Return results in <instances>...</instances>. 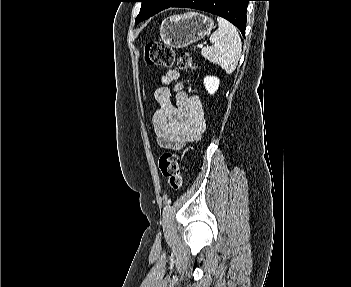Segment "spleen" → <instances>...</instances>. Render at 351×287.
Returning <instances> with one entry per match:
<instances>
[{"mask_svg":"<svg viewBox=\"0 0 351 287\" xmlns=\"http://www.w3.org/2000/svg\"><path fill=\"white\" fill-rule=\"evenodd\" d=\"M218 29L210 36L212 46L204 47L202 56L218 64L227 74H231L241 56L242 43L236 27L222 17L217 18Z\"/></svg>","mask_w":351,"mask_h":287,"instance_id":"spleen-1","label":"spleen"}]
</instances>
